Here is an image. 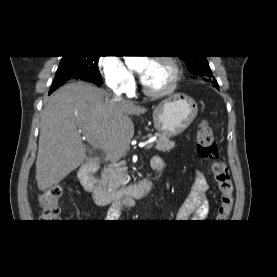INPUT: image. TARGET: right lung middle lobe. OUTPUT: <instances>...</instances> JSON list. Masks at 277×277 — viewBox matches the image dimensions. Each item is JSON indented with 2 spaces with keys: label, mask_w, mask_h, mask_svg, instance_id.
Listing matches in <instances>:
<instances>
[{
  "label": "right lung middle lobe",
  "mask_w": 277,
  "mask_h": 277,
  "mask_svg": "<svg viewBox=\"0 0 277 277\" xmlns=\"http://www.w3.org/2000/svg\"><path fill=\"white\" fill-rule=\"evenodd\" d=\"M98 60L99 56H62L56 76L73 74L100 82Z\"/></svg>",
  "instance_id": "right-lung-middle-lobe-1"
}]
</instances>
